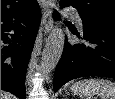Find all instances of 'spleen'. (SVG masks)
I'll return each instance as SVG.
<instances>
[{"instance_id":"1","label":"spleen","mask_w":115,"mask_h":99,"mask_svg":"<svg viewBox=\"0 0 115 99\" xmlns=\"http://www.w3.org/2000/svg\"><path fill=\"white\" fill-rule=\"evenodd\" d=\"M74 95L81 94L84 99L98 95L101 99H115V84L104 79H84L75 82L71 87Z\"/></svg>"}]
</instances>
